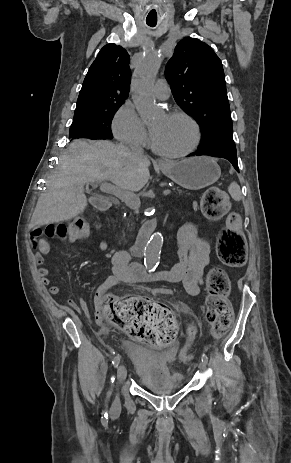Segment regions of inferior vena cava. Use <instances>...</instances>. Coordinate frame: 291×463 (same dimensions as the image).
Returning a JSON list of instances; mask_svg holds the SVG:
<instances>
[{"label":"inferior vena cava","instance_id":"602c4592","mask_svg":"<svg viewBox=\"0 0 291 463\" xmlns=\"http://www.w3.org/2000/svg\"><path fill=\"white\" fill-rule=\"evenodd\" d=\"M131 151L134 152V153H138V154H139V153H143V149H142L141 147H138V146L132 148Z\"/></svg>","mask_w":291,"mask_h":463}]
</instances>
